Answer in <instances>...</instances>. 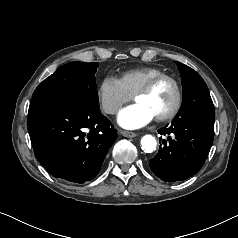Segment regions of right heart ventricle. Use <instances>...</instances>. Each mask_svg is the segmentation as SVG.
I'll list each match as a JSON object with an SVG mask.
<instances>
[{
  "mask_svg": "<svg viewBox=\"0 0 238 238\" xmlns=\"http://www.w3.org/2000/svg\"><path fill=\"white\" fill-rule=\"evenodd\" d=\"M161 74H165V71L159 67L141 66L123 72L118 80L124 90L132 96L150 79Z\"/></svg>",
  "mask_w": 238,
  "mask_h": 238,
  "instance_id": "right-heart-ventricle-1",
  "label": "right heart ventricle"
}]
</instances>
